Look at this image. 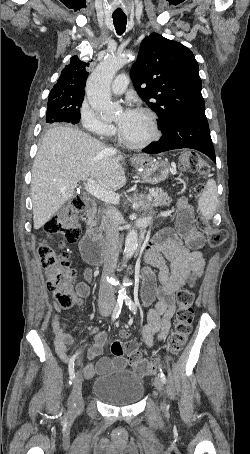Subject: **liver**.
Masks as SVG:
<instances>
[{
    "instance_id": "1",
    "label": "liver",
    "mask_w": 250,
    "mask_h": 454,
    "mask_svg": "<svg viewBox=\"0 0 250 454\" xmlns=\"http://www.w3.org/2000/svg\"><path fill=\"white\" fill-rule=\"evenodd\" d=\"M123 160L83 131L68 126L49 129L32 168L34 228L44 226L74 196L81 180L92 178L108 191L122 188L126 183Z\"/></svg>"
}]
</instances>
